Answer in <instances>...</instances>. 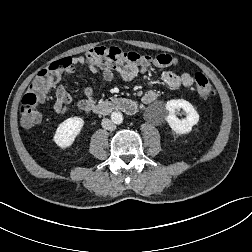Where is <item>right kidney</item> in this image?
I'll use <instances>...</instances> for the list:
<instances>
[{"label":"right kidney","mask_w":252,"mask_h":252,"mask_svg":"<svg viewBox=\"0 0 252 252\" xmlns=\"http://www.w3.org/2000/svg\"><path fill=\"white\" fill-rule=\"evenodd\" d=\"M84 120L80 117H71L63 121L57 128L53 140L61 148H67L73 144L79 135Z\"/></svg>","instance_id":"1"}]
</instances>
